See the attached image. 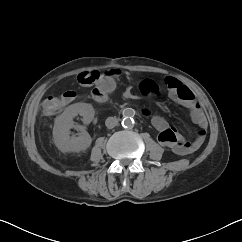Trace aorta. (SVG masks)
<instances>
[{
	"label": "aorta",
	"mask_w": 242,
	"mask_h": 242,
	"mask_svg": "<svg viewBox=\"0 0 242 242\" xmlns=\"http://www.w3.org/2000/svg\"><path fill=\"white\" fill-rule=\"evenodd\" d=\"M135 115V110L132 108H125L123 110V121L122 126L125 128L131 127L134 124L133 117Z\"/></svg>",
	"instance_id": "aorta-1"
}]
</instances>
